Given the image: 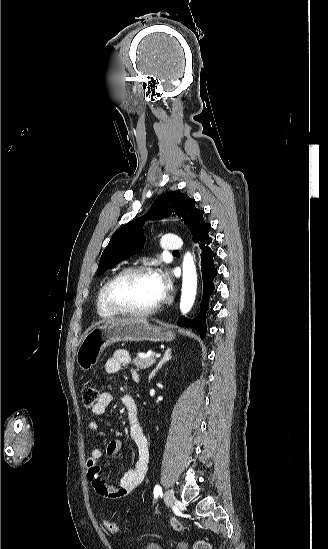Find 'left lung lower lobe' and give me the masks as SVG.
I'll return each instance as SVG.
<instances>
[{"instance_id": "0a47b994", "label": "left lung lower lobe", "mask_w": 328, "mask_h": 549, "mask_svg": "<svg viewBox=\"0 0 328 549\" xmlns=\"http://www.w3.org/2000/svg\"><path fill=\"white\" fill-rule=\"evenodd\" d=\"M212 237L206 236L200 239L197 243L201 249V271L203 279V297L201 301V309L199 314L192 320H188L185 317L178 319L179 326L192 327L198 330L201 338L206 335V312L209 309V299L214 291V278L217 275V269L214 265V259L216 253L212 249Z\"/></svg>"}]
</instances>
